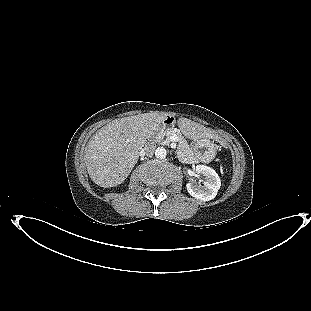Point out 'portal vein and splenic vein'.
Instances as JSON below:
<instances>
[{"label": "portal vein and splenic vein", "mask_w": 311, "mask_h": 311, "mask_svg": "<svg viewBox=\"0 0 311 311\" xmlns=\"http://www.w3.org/2000/svg\"><path fill=\"white\" fill-rule=\"evenodd\" d=\"M171 141H178V137H177V135H172L171 136Z\"/></svg>", "instance_id": "obj_1"}]
</instances>
